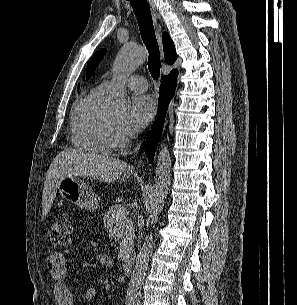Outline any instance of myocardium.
I'll use <instances>...</instances> for the list:
<instances>
[{
  "instance_id": "myocardium-1",
  "label": "myocardium",
  "mask_w": 297,
  "mask_h": 305,
  "mask_svg": "<svg viewBox=\"0 0 297 305\" xmlns=\"http://www.w3.org/2000/svg\"><path fill=\"white\" fill-rule=\"evenodd\" d=\"M106 140L110 148L120 149L126 146L128 143V138L123 130H120L111 120L110 117L107 118L106 127Z\"/></svg>"
}]
</instances>
